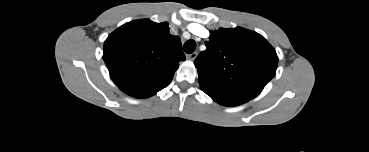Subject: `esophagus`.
Here are the masks:
<instances>
[{"label":"esophagus","mask_w":369,"mask_h":152,"mask_svg":"<svg viewBox=\"0 0 369 152\" xmlns=\"http://www.w3.org/2000/svg\"><path fill=\"white\" fill-rule=\"evenodd\" d=\"M197 55H198V53H197V52H193V53L189 54V55L187 56V58H188L189 60H191V61H194V60L196 59Z\"/></svg>","instance_id":"esophagus-1"}]
</instances>
